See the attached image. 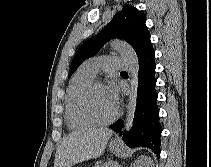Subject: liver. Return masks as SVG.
Returning <instances> with one entry per match:
<instances>
[{"label":"liver","instance_id":"obj_1","mask_svg":"<svg viewBox=\"0 0 211 167\" xmlns=\"http://www.w3.org/2000/svg\"><path fill=\"white\" fill-rule=\"evenodd\" d=\"M112 134L108 128H84L71 132L57 147L54 167H72L100 157Z\"/></svg>","mask_w":211,"mask_h":167}]
</instances>
